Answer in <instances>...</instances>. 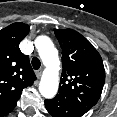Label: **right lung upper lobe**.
I'll return each mask as SVG.
<instances>
[{
  "instance_id": "1",
  "label": "right lung upper lobe",
  "mask_w": 117,
  "mask_h": 117,
  "mask_svg": "<svg viewBox=\"0 0 117 117\" xmlns=\"http://www.w3.org/2000/svg\"><path fill=\"white\" fill-rule=\"evenodd\" d=\"M28 32L29 26L22 22L0 30V117L15 108L23 89L36 80L28 56L19 49Z\"/></svg>"
}]
</instances>
